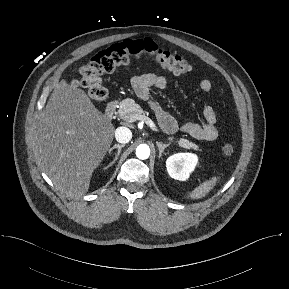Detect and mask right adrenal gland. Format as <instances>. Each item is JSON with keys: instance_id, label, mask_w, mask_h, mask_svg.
Masks as SVG:
<instances>
[{"instance_id": "obj_1", "label": "right adrenal gland", "mask_w": 289, "mask_h": 289, "mask_svg": "<svg viewBox=\"0 0 289 289\" xmlns=\"http://www.w3.org/2000/svg\"><path fill=\"white\" fill-rule=\"evenodd\" d=\"M124 146H125V145L115 144L114 146H112V147L109 149V155H110V156H111L112 151H113L114 149H117V154H116L114 160H113L108 166H106L105 169L111 167V166L117 161L118 156H119V154H120V152H121V149H122Z\"/></svg>"}]
</instances>
